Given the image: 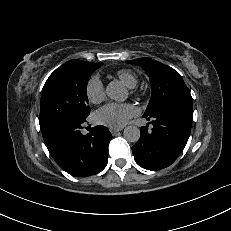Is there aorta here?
Listing matches in <instances>:
<instances>
[{"mask_svg":"<svg viewBox=\"0 0 231 231\" xmlns=\"http://www.w3.org/2000/svg\"><path fill=\"white\" fill-rule=\"evenodd\" d=\"M107 96L115 101H124L127 98V91L118 81L110 82L106 87ZM140 129L136 126L130 125L124 129L123 135L128 142L135 143L140 138Z\"/></svg>","mask_w":231,"mask_h":231,"instance_id":"762f6f07","label":"aorta"}]
</instances>
